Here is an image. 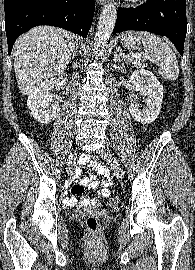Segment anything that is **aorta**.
Wrapping results in <instances>:
<instances>
[{
  "label": "aorta",
  "mask_w": 195,
  "mask_h": 270,
  "mask_svg": "<svg viewBox=\"0 0 195 270\" xmlns=\"http://www.w3.org/2000/svg\"><path fill=\"white\" fill-rule=\"evenodd\" d=\"M117 19V9L114 3H107L100 15L98 26L94 36V47L96 57L102 56L105 46L114 29Z\"/></svg>",
  "instance_id": "1"
}]
</instances>
